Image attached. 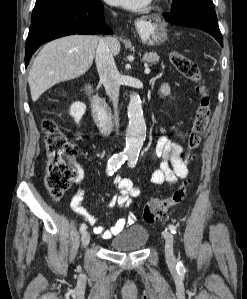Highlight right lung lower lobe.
Returning <instances> with one entry per match:
<instances>
[{
	"mask_svg": "<svg viewBox=\"0 0 247 299\" xmlns=\"http://www.w3.org/2000/svg\"><path fill=\"white\" fill-rule=\"evenodd\" d=\"M100 0L57 8L31 22L25 45V66L45 42L72 34H112L103 16Z\"/></svg>",
	"mask_w": 247,
	"mask_h": 299,
	"instance_id": "98d812e1",
	"label": "right lung lower lobe"
}]
</instances>
